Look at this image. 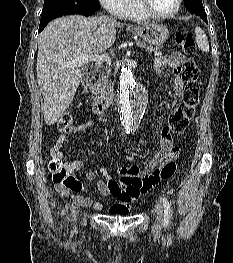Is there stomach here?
Instances as JSON below:
<instances>
[{
	"instance_id": "0dacf381",
	"label": "stomach",
	"mask_w": 233,
	"mask_h": 263,
	"mask_svg": "<svg viewBox=\"0 0 233 263\" xmlns=\"http://www.w3.org/2000/svg\"><path fill=\"white\" fill-rule=\"evenodd\" d=\"M131 32L155 46L162 45L169 37L167 27L155 22L135 27L131 29Z\"/></svg>"
}]
</instances>
